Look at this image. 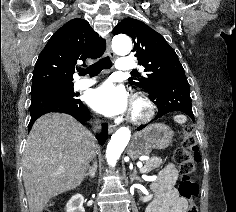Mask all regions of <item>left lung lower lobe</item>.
I'll return each mask as SVG.
<instances>
[{
  "mask_svg": "<svg viewBox=\"0 0 236 212\" xmlns=\"http://www.w3.org/2000/svg\"><path fill=\"white\" fill-rule=\"evenodd\" d=\"M150 99L158 107V113L155 119L169 112L181 111L194 121L189 83L186 76L178 77L172 82L163 84L156 94L150 95ZM144 127L145 125L140 126L138 130Z\"/></svg>",
  "mask_w": 236,
  "mask_h": 212,
  "instance_id": "left-lung-lower-lobe-1",
  "label": "left lung lower lobe"
}]
</instances>
